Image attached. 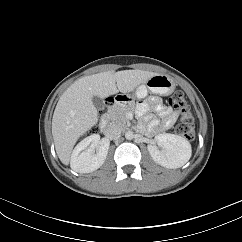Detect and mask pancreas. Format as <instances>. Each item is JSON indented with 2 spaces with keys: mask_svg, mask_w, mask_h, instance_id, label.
<instances>
[{
  "mask_svg": "<svg viewBox=\"0 0 242 242\" xmlns=\"http://www.w3.org/2000/svg\"><path fill=\"white\" fill-rule=\"evenodd\" d=\"M134 111V103L124 106H112L111 109L108 110V117L110 121L114 124H118L122 129L127 127V113H133Z\"/></svg>",
  "mask_w": 242,
  "mask_h": 242,
  "instance_id": "cf45deb5",
  "label": "pancreas"
}]
</instances>
